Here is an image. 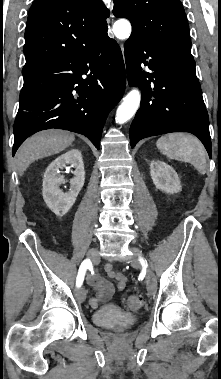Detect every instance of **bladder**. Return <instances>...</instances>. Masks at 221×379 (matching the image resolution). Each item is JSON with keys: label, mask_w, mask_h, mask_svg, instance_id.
<instances>
[{"label": "bladder", "mask_w": 221, "mask_h": 379, "mask_svg": "<svg viewBox=\"0 0 221 379\" xmlns=\"http://www.w3.org/2000/svg\"><path fill=\"white\" fill-rule=\"evenodd\" d=\"M93 321L103 328H128L136 323L138 316L133 313L119 312L113 308H102L96 311Z\"/></svg>", "instance_id": "31cf9c89"}]
</instances>
